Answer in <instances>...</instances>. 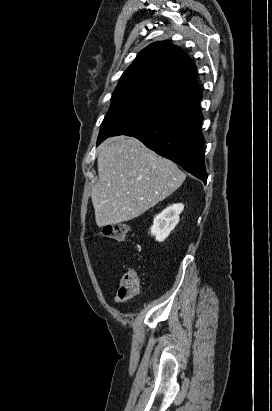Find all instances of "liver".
<instances>
[{
	"label": "liver",
	"mask_w": 272,
	"mask_h": 411,
	"mask_svg": "<svg viewBox=\"0 0 272 411\" xmlns=\"http://www.w3.org/2000/svg\"><path fill=\"white\" fill-rule=\"evenodd\" d=\"M99 181L91 200L98 227L132 220L178 189V166L124 135L105 140L97 156Z\"/></svg>",
	"instance_id": "liver-1"
}]
</instances>
